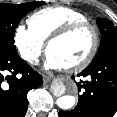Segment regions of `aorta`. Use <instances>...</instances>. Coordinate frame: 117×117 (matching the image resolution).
Listing matches in <instances>:
<instances>
[{
  "label": "aorta",
  "mask_w": 117,
  "mask_h": 117,
  "mask_svg": "<svg viewBox=\"0 0 117 117\" xmlns=\"http://www.w3.org/2000/svg\"><path fill=\"white\" fill-rule=\"evenodd\" d=\"M53 93L55 95H61L66 90V85L61 81H55L52 87ZM75 97L72 95H63L57 99V105L63 109L68 110L75 105Z\"/></svg>",
  "instance_id": "762f6f07"
}]
</instances>
